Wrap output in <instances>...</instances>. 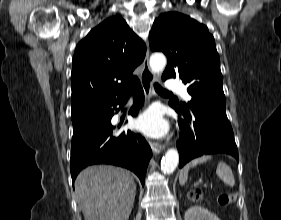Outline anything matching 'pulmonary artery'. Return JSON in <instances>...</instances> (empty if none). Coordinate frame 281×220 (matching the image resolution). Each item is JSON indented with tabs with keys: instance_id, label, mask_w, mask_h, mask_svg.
I'll use <instances>...</instances> for the list:
<instances>
[{
	"instance_id": "pulmonary-artery-1",
	"label": "pulmonary artery",
	"mask_w": 281,
	"mask_h": 220,
	"mask_svg": "<svg viewBox=\"0 0 281 220\" xmlns=\"http://www.w3.org/2000/svg\"><path fill=\"white\" fill-rule=\"evenodd\" d=\"M166 87L171 90L179 93L186 101L191 99V96L186 90V87L182 84V82L178 80H169L166 83Z\"/></svg>"
}]
</instances>
